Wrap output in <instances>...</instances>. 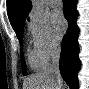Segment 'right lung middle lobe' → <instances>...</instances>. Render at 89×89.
Returning <instances> with one entry per match:
<instances>
[{"label": "right lung middle lobe", "mask_w": 89, "mask_h": 89, "mask_svg": "<svg viewBox=\"0 0 89 89\" xmlns=\"http://www.w3.org/2000/svg\"><path fill=\"white\" fill-rule=\"evenodd\" d=\"M25 22V21H24ZM24 22L20 23L15 30L16 35L20 41V44H22V36H23V26H24ZM21 61H22V66L24 68V74H27L26 71V64H25V60H24V56H23V51L21 50Z\"/></svg>", "instance_id": "1"}]
</instances>
